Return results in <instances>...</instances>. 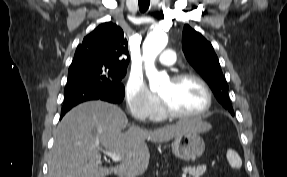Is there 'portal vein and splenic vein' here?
I'll return each instance as SVG.
<instances>
[{"instance_id": "1", "label": "portal vein and splenic vein", "mask_w": 287, "mask_h": 177, "mask_svg": "<svg viewBox=\"0 0 287 177\" xmlns=\"http://www.w3.org/2000/svg\"><path fill=\"white\" fill-rule=\"evenodd\" d=\"M101 151L104 154H106L108 157H110L113 162H120L122 160V156H120L119 154H115V153L108 151V150H102L101 149ZM182 177H186V175H182Z\"/></svg>"}]
</instances>
